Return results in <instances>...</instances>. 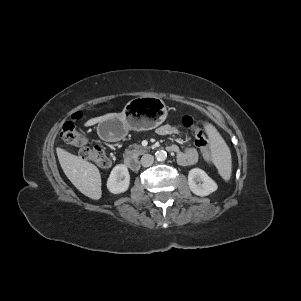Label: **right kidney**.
Masks as SVG:
<instances>
[{
  "mask_svg": "<svg viewBox=\"0 0 301 301\" xmlns=\"http://www.w3.org/2000/svg\"><path fill=\"white\" fill-rule=\"evenodd\" d=\"M130 175L128 168L123 164L116 165L107 180V188L113 194H120L128 190Z\"/></svg>",
  "mask_w": 301,
  "mask_h": 301,
  "instance_id": "obj_1",
  "label": "right kidney"
}]
</instances>
